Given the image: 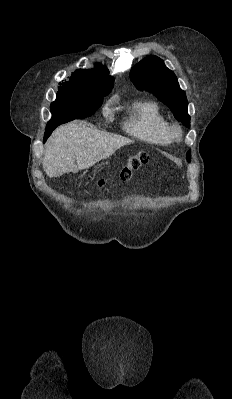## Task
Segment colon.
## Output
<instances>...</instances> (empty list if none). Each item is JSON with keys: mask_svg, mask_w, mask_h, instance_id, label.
<instances>
[{"mask_svg": "<svg viewBox=\"0 0 232 399\" xmlns=\"http://www.w3.org/2000/svg\"><path fill=\"white\" fill-rule=\"evenodd\" d=\"M149 162V157L145 153H138L131 155L126 160V163H118L117 168L114 172L107 175L106 180H98V185H110L116 186L125 179H130L129 174L130 168H138L139 166H145Z\"/></svg>", "mask_w": 232, "mask_h": 399, "instance_id": "colon-1", "label": "colon"}]
</instances>
